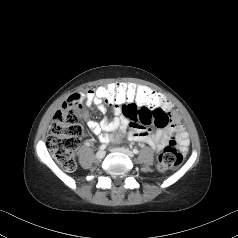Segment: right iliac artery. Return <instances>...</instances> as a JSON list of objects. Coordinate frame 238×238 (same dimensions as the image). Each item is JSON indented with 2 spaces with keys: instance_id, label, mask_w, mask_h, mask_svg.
<instances>
[{
  "instance_id": "obj_1",
  "label": "right iliac artery",
  "mask_w": 238,
  "mask_h": 238,
  "mask_svg": "<svg viewBox=\"0 0 238 238\" xmlns=\"http://www.w3.org/2000/svg\"><path fill=\"white\" fill-rule=\"evenodd\" d=\"M106 147H107L106 144H102V145L100 146V149H101V150H104Z\"/></svg>"
}]
</instances>
